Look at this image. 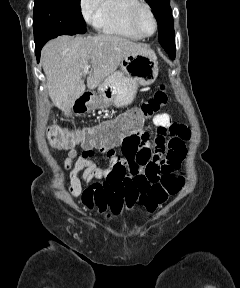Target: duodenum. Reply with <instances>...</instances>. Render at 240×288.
Returning <instances> with one entry per match:
<instances>
[{
	"mask_svg": "<svg viewBox=\"0 0 240 288\" xmlns=\"http://www.w3.org/2000/svg\"><path fill=\"white\" fill-rule=\"evenodd\" d=\"M91 100V96L89 94H85L80 97V99L77 102V112L83 113L87 110L88 104Z\"/></svg>",
	"mask_w": 240,
	"mask_h": 288,
	"instance_id": "410a0bca",
	"label": "duodenum"
}]
</instances>
